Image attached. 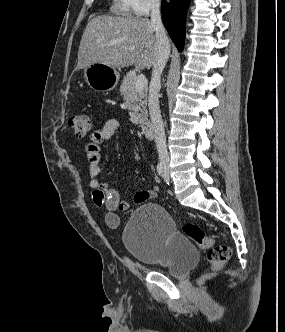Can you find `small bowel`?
Wrapping results in <instances>:
<instances>
[{
	"mask_svg": "<svg viewBox=\"0 0 285 332\" xmlns=\"http://www.w3.org/2000/svg\"><path fill=\"white\" fill-rule=\"evenodd\" d=\"M120 128V122L115 118L106 119L101 126L93 133L91 141L86 146L89 158L90 187L92 189V199L96 206L104 208L106 211V223L117 228L120 224L118 211H127L130 208V202L121 199L116 189L110 188L107 183L99 180L98 176L102 169V159L99 145L108 142L117 130ZM156 191L140 190L134 195V202L141 204L154 197Z\"/></svg>",
	"mask_w": 285,
	"mask_h": 332,
	"instance_id": "obj_1",
	"label": "small bowel"
}]
</instances>
